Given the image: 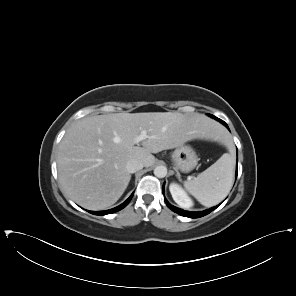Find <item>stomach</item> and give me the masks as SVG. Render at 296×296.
Returning <instances> with one entry per match:
<instances>
[{
  "label": "stomach",
  "mask_w": 296,
  "mask_h": 296,
  "mask_svg": "<svg viewBox=\"0 0 296 296\" xmlns=\"http://www.w3.org/2000/svg\"><path fill=\"white\" fill-rule=\"evenodd\" d=\"M171 158L174 167L184 173L192 171L199 160L196 152L189 145L177 147L172 153Z\"/></svg>",
  "instance_id": "1"
}]
</instances>
